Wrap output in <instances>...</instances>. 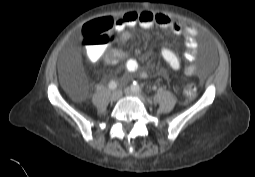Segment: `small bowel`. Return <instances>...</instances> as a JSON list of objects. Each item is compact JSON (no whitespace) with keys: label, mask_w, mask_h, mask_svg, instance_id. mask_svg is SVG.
Wrapping results in <instances>:
<instances>
[{"label":"small bowel","mask_w":255,"mask_h":177,"mask_svg":"<svg viewBox=\"0 0 255 177\" xmlns=\"http://www.w3.org/2000/svg\"><path fill=\"white\" fill-rule=\"evenodd\" d=\"M111 24L116 31L121 32L120 40L127 41L131 39L132 35L125 31L126 28L131 27H143L150 28L153 26H159L170 29L174 34L183 36L185 38V50L183 57L186 61L190 62V65L185 67L184 75L186 77L192 76L196 71L194 64L198 55V43L197 36L198 30L191 24H184L177 20L170 18L163 13H151V12H125L119 17H104ZM88 57L92 62L99 60L101 57H105V60L114 64L119 60L125 59V71L128 73H136L139 70V63L136 59L130 58L128 52L122 49H110L103 51L97 47H91L87 51ZM161 56L164 62L172 69L178 70L182 66V60L180 56L167 46H162L160 49ZM197 82L188 81V84H196Z\"/></svg>","instance_id":"small-bowel-1"}]
</instances>
